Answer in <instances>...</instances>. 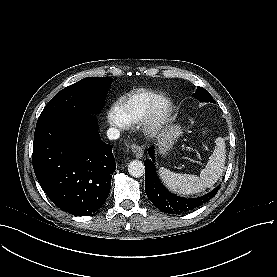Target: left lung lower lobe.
I'll return each mask as SVG.
<instances>
[{
    "label": "left lung lower lobe",
    "mask_w": 277,
    "mask_h": 277,
    "mask_svg": "<svg viewBox=\"0 0 277 277\" xmlns=\"http://www.w3.org/2000/svg\"><path fill=\"white\" fill-rule=\"evenodd\" d=\"M149 156L145 165V192L149 200L161 211L168 214H178L191 211L210 200L218 191V187L208 194L198 198H183L170 193L158 179L155 168L154 146L149 148Z\"/></svg>",
    "instance_id": "1"
}]
</instances>
